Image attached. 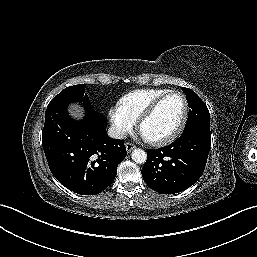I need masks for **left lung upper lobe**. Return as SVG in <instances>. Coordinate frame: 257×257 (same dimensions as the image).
Segmentation results:
<instances>
[{
	"label": "left lung upper lobe",
	"instance_id": "1",
	"mask_svg": "<svg viewBox=\"0 0 257 257\" xmlns=\"http://www.w3.org/2000/svg\"><path fill=\"white\" fill-rule=\"evenodd\" d=\"M189 105V115L183 133L191 130L210 131V114L206 104L191 89L182 87Z\"/></svg>",
	"mask_w": 257,
	"mask_h": 257
}]
</instances>
